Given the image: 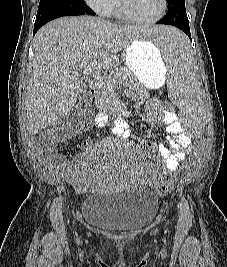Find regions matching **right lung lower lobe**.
<instances>
[{"label":"right lung lower lobe","mask_w":227,"mask_h":267,"mask_svg":"<svg viewBox=\"0 0 227 267\" xmlns=\"http://www.w3.org/2000/svg\"><path fill=\"white\" fill-rule=\"evenodd\" d=\"M95 13L86 5H67V4H51L39 3L37 16L34 24L35 33L47 22L62 16H77Z\"/></svg>","instance_id":"98d812e1"}]
</instances>
